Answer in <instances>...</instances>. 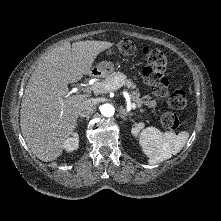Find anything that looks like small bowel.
<instances>
[{
	"label": "small bowel",
	"instance_id": "1",
	"mask_svg": "<svg viewBox=\"0 0 221 221\" xmlns=\"http://www.w3.org/2000/svg\"><path fill=\"white\" fill-rule=\"evenodd\" d=\"M145 103L149 106V107H155L156 106V103L155 101L149 97V96H146L145 97Z\"/></svg>",
	"mask_w": 221,
	"mask_h": 221
}]
</instances>
